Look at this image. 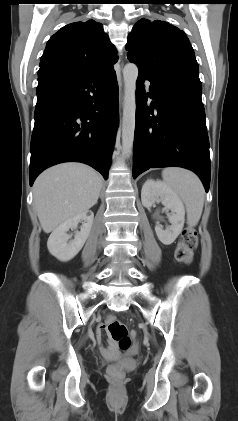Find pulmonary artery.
Here are the masks:
<instances>
[{"label": "pulmonary artery", "mask_w": 238, "mask_h": 421, "mask_svg": "<svg viewBox=\"0 0 238 421\" xmlns=\"http://www.w3.org/2000/svg\"><path fill=\"white\" fill-rule=\"evenodd\" d=\"M146 86H147V88H149L150 82L146 81Z\"/></svg>", "instance_id": "pulmonary-artery-1"}]
</instances>
